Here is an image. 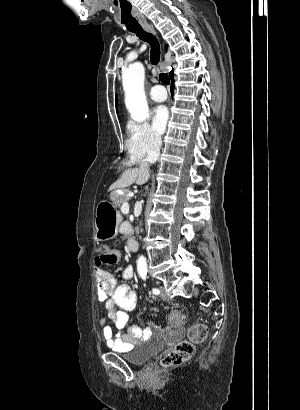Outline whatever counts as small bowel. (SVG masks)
<instances>
[{
  "label": "small bowel",
  "mask_w": 300,
  "mask_h": 410,
  "mask_svg": "<svg viewBox=\"0 0 300 410\" xmlns=\"http://www.w3.org/2000/svg\"><path fill=\"white\" fill-rule=\"evenodd\" d=\"M97 280V297L99 301L104 302L107 311V318L113 324V328L107 324L106 319L102 318L99 322L101 334L106 340L108 347L122 351L130 348L134 344L150 337L153 333V327L147 326L142 329L139 326H127L128 312L132 311L136 305V293L127 283L131 276L130 267L123 270L122 277L124 282L118 283L117 279L107 271L97 268L95 271ZM177 327H172L176 329Z\"/></svg>",
  "instance_id": "obj_1"
}]
</instances>
